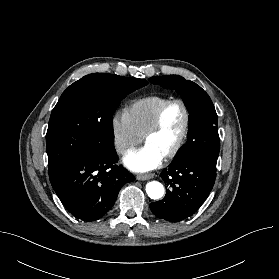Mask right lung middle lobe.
<instances>
[{
	"label": "right lung middle lobe",
	"mask_w": 279,
	"mask_h": 279,
	"mask_svg": "<svg viewBox=\"0 0 279 279\" xmlns=\"http://www.w3.org/2000/svg\"><path fill=\"white\" fill-rule=\"evenodd\" d=\"M145 79L89 74L70 85L52 110L46 134L49 178L76 158L114 148L112 116L127 94Z\"/></svg>",
	"instance_id": "1"
}]
</instances>
